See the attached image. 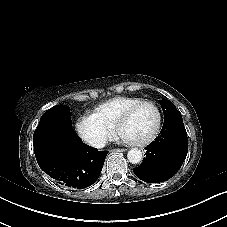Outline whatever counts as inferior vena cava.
I'll return each mask as SVG.
<instances>
[{
  "label": "inferior vena cava",
  "mask_w": 227,
  "mask_h": 227,
  "mask_svg": "<svg viewBox=\"0 0 227 227\" xmlns=\"http://www.w3.org/2000/svg\"><path fill=\"white\" fill-rule=\"evenodd\" d=\"M105 145H106V140H105V139H98V140L95 142V146H96L97 148H103Z\"/></svg>",
  "instance_id": "1"
}]
</instances>
